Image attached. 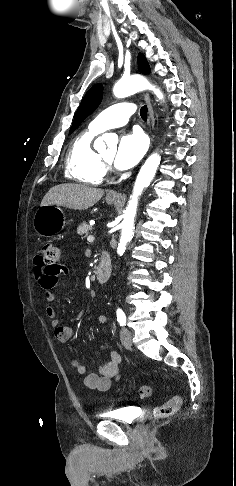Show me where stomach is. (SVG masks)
<instances>
[{"mask_svg": "<svg viewBox=\"0 0 236 486\" xmlns=\"http://www.w3.org/2000/svg\"><path fill=\"white\" fill-rule=\"evenodd\" d=\"M108 204H114L117 200L106 198ZM66 224V218L59 206L43 205L35 212L33 227L39 236L50 237L59 233Z\"/></svg>", "mask_w": 236, "mask_h": 486, "instance_id": "0dacf381", "label": "stomach"}]
</instances>
